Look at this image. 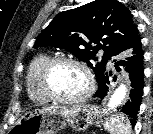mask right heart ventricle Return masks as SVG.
<instances>
[{
  "mask_svg": "<svg viewBox=\"0 0 153 134\" xmlns=\"http://www.w3.org/2000/svg\"><path fill=\"white\" fill-rule=\"evenodd\" d=\"M50 59L46 53L35 56L29 63L26 73V90L29 98L38 104H46L50 100L42 93L39 85V75L43 65Z\"/></svg>",
  "mask_w": 153,
  "mask_h": 134,
  "instance_id": "1",
  "label": "right heart ventricle"
}]
</instances>
